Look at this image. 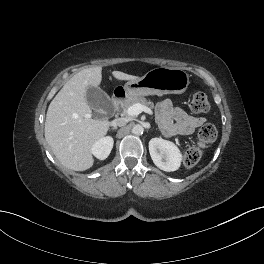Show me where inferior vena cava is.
<instances>
[{
    "label": "inferior vena cava",
    "mask_w": 264,
    "mask_h": 264,
    "mask_svg": "<svg viewBox=\"0 0 264 264\" xmlns=\"http://www.w3.org/2000/svg\"><path fill=\"white\" fill-rule=\"evenodd\" d=\"M127 123V120L125 118H117L113 121L110 122V125L113 127H117V126H125Z\"/></svg>",
    "instance_id": "1"
}]
</instances>
